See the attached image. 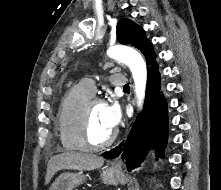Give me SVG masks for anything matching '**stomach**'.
Segmentation results:
<instances>
[{
	"label": "stomach",
	"mask_w": 221,
	"mask_h": 190,
	"mask_svg": "<svg viewBox=\"0 0 221 190\" xmlns=\"http://www.w3.org/2000/svg\"><path fill=\"white\" fill-rule=\"evenodd\" d=\"M88 175L82 171L77 173H63L55 179L49 190H73L85 181ZM102 181L106 184L117 185L121 179L120 175L113 169H105L102 174Z\"/></svg>",
	"instance_id": "0dacf381"
}]
</instances>
